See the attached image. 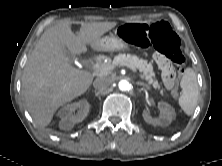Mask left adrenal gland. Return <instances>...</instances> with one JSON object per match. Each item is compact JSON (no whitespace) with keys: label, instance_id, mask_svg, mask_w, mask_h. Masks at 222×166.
<instances>
[{"label":"left adrenal gland","instance_id":"a2214340","mask_svg":"<svg viewBox=\"0 0 222 166\" xmlns=\"http://www.w3.org/2000/svg\"><path fill=\"white\" fill-rule=\"evenodd\" d=\"M136 84H137V85H140V86H146V87H148L147 84H145V83H143V82H140V81L136 82Z\"/></svg>","mask_w":222,"mask_h":166}]
</instances>
